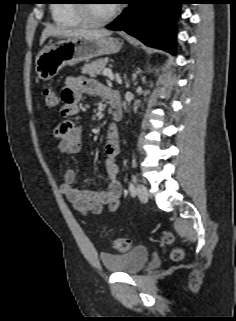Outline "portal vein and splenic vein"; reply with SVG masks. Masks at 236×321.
Listing matches in <instances>:
<instances>
[{"label":"portal vein and splenic vein","mask_w":236,"mask_h":321,"mask_svg":"<svg viewBox=\"0 0 236 321\" xmlns=\"http://www.w3.org/2000/svg\"><path fill=\"white\" fill-rule=\"evenodd\" d=\"M102 73H103L104 76L108 77L110 80H114L115 79V76L112 73L111 69H104Z\"/></svg>","instance_id":"18ae733b"}]
</instances>
